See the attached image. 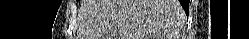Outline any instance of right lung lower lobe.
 <instances>
[{
  "label": "right lung lower lobe",
  "instance_id": "right-lung-lower-lobe-1",
  "mask_svg": "<svg viewBox=\"0 0 249 39\" xmlns=\"http://www.w3.org/2000/svg\"><path fill=\"white\" fill-rule=\"evenodd\" d=\"M181 5L184 8L185 12L188 13L189 9V0H181Z\"/></svg>",
  "mask_w": 249,
  "mask_h": 39
}]
</instances>
